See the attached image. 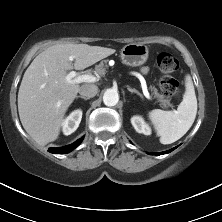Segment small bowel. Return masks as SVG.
<instances>
[{
	"instance_id": "obj_1",
	"label": "small bowel",
	"mask_w": 222,
	"mask_h": 222,
	"mask_svg": "<svg viewBox=\"0 0 222 222\" xmlns=\"http://www.w3.org/2000/svg\"><path fill=\"white\" fill-rule=\"evenodd\" d=\"M143 73H147V71H148V68L147 67H144V68H142V70H141Z\"/></svg>"
}]
</instances>
